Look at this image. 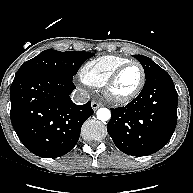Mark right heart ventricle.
Masks as SVG:
<instances>
[{
    "label": "right heart ventricle",
    "instance_id": "e07e8e85",
    "mask_svg": "<svg viewBox=\"0 0 193 193\" xmlns=\"http://www.w3.org/2000/svg\"><path fill=\"white\" fill-rule=\"evenodd\" d=\"M129 61L127 58L115 55L100 56L86 62L79 75L85 84L100 88L115 69Z\"/></svg>",
    "mask_w": 193,
    "mask_h": 193
}]
</instances>
